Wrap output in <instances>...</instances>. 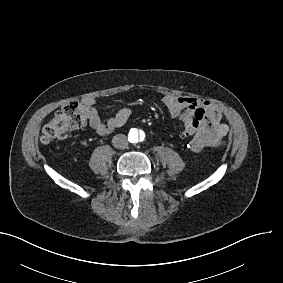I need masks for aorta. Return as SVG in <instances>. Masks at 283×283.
<instances>
[{"label":"aorta","instance_id":"762f6f07","mask_svg":"<svg viewBox=\"0 0 283 283\" xmlns=\"http://www.w3.org/2000/svg\"><path fill=\"white\" fill-rule=\"evenodd\" d=\"M145 136V132L138 128H132L128 133V139L131 143L142 142L144 141Z\"/></svg>","mask_w":283,"mask_h":283}]
</instances>
